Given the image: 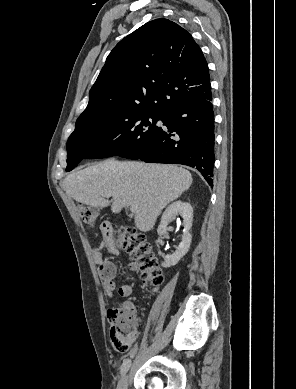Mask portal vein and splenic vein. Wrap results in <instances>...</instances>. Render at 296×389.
<instances>
[{
    "mask_svg": "<svg viewBox=\"0 0 296 389\" xmlns=\"http://www.w3.org/2000/svg\"><path fill=\"white\" fill-rule=\"evenodd\" d=\"M104 197L109 198L110 195L106 194V195H104ZM130 210H131L132 213H135V212H136V208H135L134 206H131V207H130Z\"/></svg>",
    "mask_w": 296,
    "mask_h": 389,
    "instance_id": "obj_1",
    "label": "portal vein and splenic vein"
}]
</instances>
